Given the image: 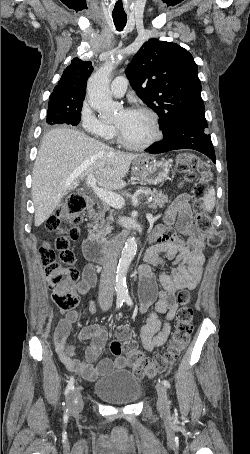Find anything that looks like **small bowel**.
<instances>
[{"label": "small bowel", "instance_id": "obj_1", "mask_svg": "<svg viewBox=\"0 0 250 454\" xmlns=\"http://www.w3.org/2000/svg\"><path fill=\"white\" fill-rule=\"evenodd\" d=\"M176 223L177 230L185 238L179 237L172 225ZM154 244L145 253V264L140 266V303L139 313H145L154 304V310L149 313L146 324L141 329L143 347L151 351L163 345L171 332V322L174 319L178 305L174 300L179 290H193L201 279L204 269V237L195 227L188 196L182 194L176 198L169 208L165 222L153 235ZM161 254L172 261L170 273L162 271L159 275L158 287L152 266L162 264ZM96 283V270L91 264L82 273V279L77 283L76 291L79 296L90 297L91 289ZM89 312H96L95 302L89 300ZM164 315V319L160 318ZM77 313L71 311L60 319L54 331V345L60 361L71 371L80 374L84 379L94 381L99 376L107 374L113 368H121L124 359H99L107 340V333L98 325L90 324L81 329L79 339H92L85 349L84 360L76 358L74 346L69 344L72 324L77 320Z\"/></svg>", "mask_w": 250, "mask_h": 454}]
</instances>
